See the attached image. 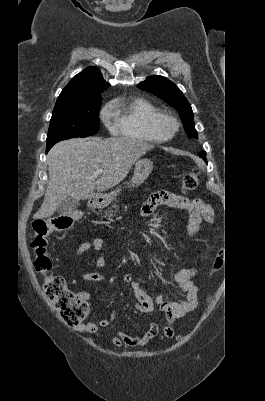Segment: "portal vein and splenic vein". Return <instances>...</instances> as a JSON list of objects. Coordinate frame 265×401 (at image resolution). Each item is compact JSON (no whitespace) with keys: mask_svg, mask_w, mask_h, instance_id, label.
I'll return each instance as SVG.
<instances>
[{"mask_svg":"<svg viewBox=\"0 0 265 401\" xmlns=\"http://www.w3.org/2000/svg\"><path fill=\"white\" fill-rule=\"evenodd\" d=\"M101 172H104L103 168H98V170H96V172H93L92 176H95V178H97V176H99V174H101Z\"/></svg>","mask_w":265,"mask_h":401,"instance_id":"18ae733b","label":"portal vein and splenic vein"}]
</instances>
